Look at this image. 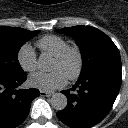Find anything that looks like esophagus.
Instances as JSON below:
<instances>
[{
	"label": "esophagus",
	"mask_w": 128,
	"mask_h": 128,
	"mask_svg": "<svg viewBox=\"0 0 128 128\" xmlns=\"http://www.w3.org/2000/svg\"><path fill=\"white\" fill-rule=\"evenodd\" d=\"M53 93L52 92H48V91H40V95L41 96H46V97H50Z\"/></svg>",
	"instance_id": "esophagus-1"
}]
</instances>
